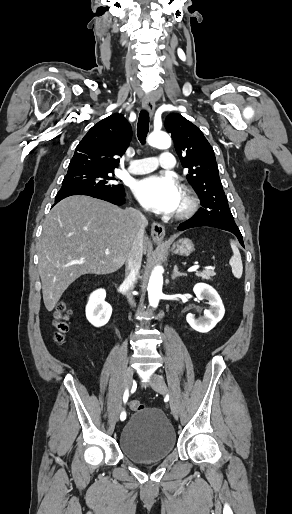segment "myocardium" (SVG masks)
I'll list each match as a JSON object with an SVG mask.
<instances>
[{"instance_id": "myocardium-1", "label": "myocardium", "mask_w": 292, "mask_h": 514, "mask_svg": "<svg viewBox=\"0 0 292 514\" xmlns=\"http://www.w3.org/2000/svg\"><path fill=\"white\" fill-rule=\"evenodd\" d=\"M197 207V199L188 191L183 190L181 193V205L176 209L178 217H187L191 215Z\"/></svg>"}]
</instances>
